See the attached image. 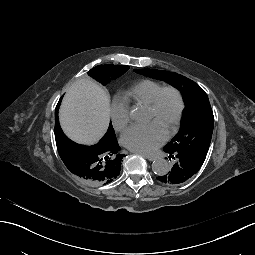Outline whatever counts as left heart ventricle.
I'll return each mask as SVG.
<instances>
[{"label": "left heart ventricle", "mask_w": 255, "mask_h": 255, "mask_svg": "<svg viewBox=\"0 0 255 255\" xmlns=\"http://www.w3.org/2000/svg\"><path fill=\"white\" fill-rule=\"evenodd\" d=\"M177 111V98L172 91L164 92L156 111L148 108L147 121L154 125L161 133L168 135L174 126Z\"/></svg>", "instance_id": "1"}]
</instances>
